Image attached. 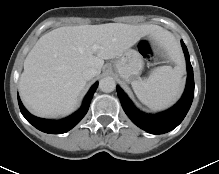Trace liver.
<instances>
[{
	"mask_svg": "<svg viewBox=\"0 0 219 174\" xmlns=\"http://www.w3.org/2000/svg\"><path fill=\"white\" fill-rule=\"evenodd\" d=\"M152 35L163 47L172 38L154 25L107 23L60 27L40 37L24 61L20 96L37 116L67 115L86 85L83 71L121 56L142 37ZM97 47V48H95Z\"/></svg>",
	"mask_w": 219,
	"mask_h": 174,
	"instance_id": "1",
	"label": "liver"
}]
</instances>
